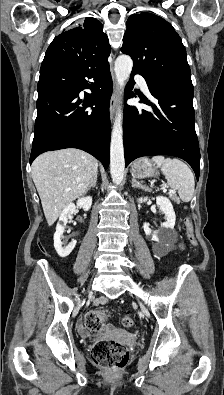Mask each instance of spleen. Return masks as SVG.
Wrapping results in <instances>:
<instances>
[{
  "instance_id": "1",
  "label": "spleen",
  "mask_w": 224,
  "mask_h": 395,
  "mask_svg": "<svg viewBox=\"0 0 224 395\" xmlns=\"http://www.w3.org/2000/svg\"><path fill=\"white\" fill-rule=\"evenodd\" d=\"M152 161L161 168L168 185L178 191L183 202H189L194 194L195 181L191 169L177 158L155 156Z\"/></svg>"
}]
</instances>
